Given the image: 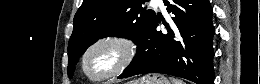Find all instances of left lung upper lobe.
Segmentation results:
<instances>
[{"label":"left lung upper lobe","instance_id":"5c2ea615","mask_svg":"<svg viewBox=\"0 0 260 84\" xmlns=\"http://www.w3.org/2000/svg\"><path fill=\"white\" fill-rule=\"evenodd\" d=\"M143 0H84L74 17V30L69 40L68 75L85 50L98 39L118 36L137 44L136 61L156 15L142 7Z\"/></svg>","mask_w":260,"mask_h":84}]
</instances>
